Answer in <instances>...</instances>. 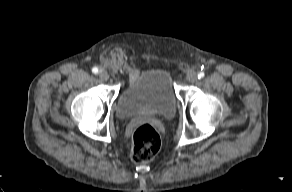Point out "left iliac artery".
I'll list each match as a JSON object with an SVG mask.
<instances>
[{"mask_svg":"<svg viewBox=\"0 0 292 192\" xmlns=\"http://www.w3.org/2000/svg\"><path fill=\"white\" fill-rule=\"evenodd\" d=\"M205 76L204 72H199L198 73V78L201 79Z\"/></svg>","mask_w":292,"mask_h":192,"instance_id":"1","label":"left iliac artery"}]
</instances>
